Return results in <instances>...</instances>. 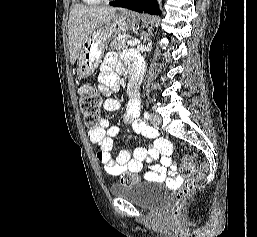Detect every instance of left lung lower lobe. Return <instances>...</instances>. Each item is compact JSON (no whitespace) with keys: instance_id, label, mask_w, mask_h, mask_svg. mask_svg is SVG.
I'll use <instances>...</instances> for the list:
<instances>
[{"instance_id":"left-lung-lower-lobe-1","label":"left lung lower lobe","mask_w":257,"mask_h":237,"mask_svg":"<svg viewBox=\"0 0 257 237\" xmlns=\"http://www.w3.org/2000/svg\"><path fill=\"white\" fill-rule=\"evenodd\" d=\"M111 6L123 7L137 12L161 14L156 0H118L110 3Z\"/></svg>"}]
</instances>
